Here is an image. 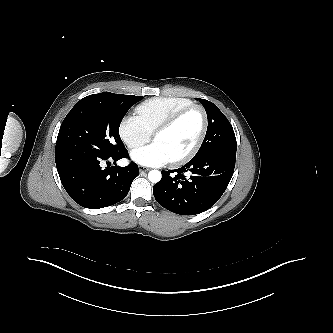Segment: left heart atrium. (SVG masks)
I'll return each instance as SVG.
<instances>
[{
  "mask_svg": "<svg viewBox=\"0 0 333 333\" xmlns=\"http://www.w3.org/2000/svg\"><path fill=\"white\" fill-rule=\"evenodd\" d=\"M131 159L143 166L152 167H159L171 161L164 148L157 142L133 150Z\"/></svg>",
  "mask_w": 333,
  "mask_h": 333,
  "instance_id": "obj_1",
  "label": "left heart atrium"
}]
</instances>
